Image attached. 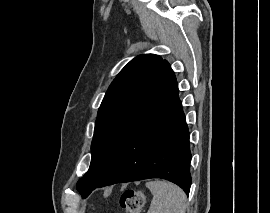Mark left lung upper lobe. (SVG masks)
<instances>
[{
  "mask_svg": "<svg viewBox=\"0 0 270 213\" xmlns=\"http://www.w3.org/2000/svg\"><path fill=\"white\" fill-rule=\"evenodd\" d=\"M176 86L169 63L155 54L139 55L121 70L98 110L91 164L77 183L82 196L99 184L140 124Z\"/></svg>",
  "mask_w": 270,
  "mask_h": 213,
  "instance_id": "5c2ea615",
  "label": "left lung upper lobe"
}]
</instances>
